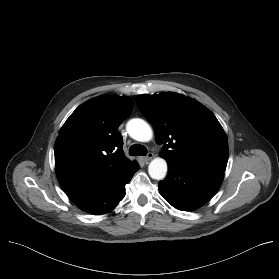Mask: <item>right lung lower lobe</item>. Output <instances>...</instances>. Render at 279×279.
<instances>
[{
    "instance_id": "obj_1",
    "label": "right lung lower lobe",
    "mask_w": 279,
    "mask_h": 279,
    "mask_svg": "<svg viewBox=\"0 0 279 279\" xmlns=\"http://www.w3.org/2000/svg\"><path fill=\"white\" fill-rule=\"evenodd\" d=\"M139 165L135 163L130 169L101 187L70 197L82 210L101 215L112 211L125 196V184L128 183Z\"/></svg>"
}]
</instances>
